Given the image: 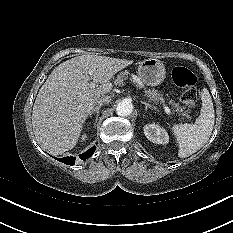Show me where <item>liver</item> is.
I'll list each match as a JSON object with an SVG mask.
<instances>
[{"label":"liver","instance_id":"6515ba94","mask_svg":"<svg viewBox=\"0 0 233 233\" xmlns=\"http://www.w3.org/2000/svg\"><path fill=\"white\" fill-rule=\"evenodd\" d=\"M132 60L82 55L58 65L40 88L32 111L37 142L53 155L75 147L96 101L109 93L114 75ZM89 71L93 75L89 76ZM100 84L90 88L89 81Z\"/></svg>","mask_w":233,"mask_h":233}]
</instances>
